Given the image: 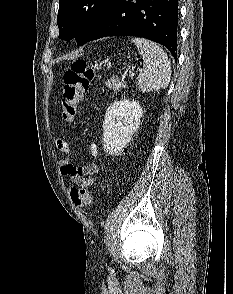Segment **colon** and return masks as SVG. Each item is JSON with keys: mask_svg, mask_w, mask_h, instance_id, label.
<instances>
[{"mask_svg": "<svg viewBox=\"0 0 233 294\" xmlns=\"http://www.w3.org/2000/svg\"><path fill=\"white\" fill-rule=\"evenodd\" d=\"M93 70L87 66L83 59L74 61L71 67L64 73V90L61 100V114L65 120H72L80 106L83 95L93 79ZM71 201L78 206H86L92 203V195L85 188H69Z\"/></svg>", "mask_w": 233, "mask_h": 294, "instance_id": "1", "label": "colon"}]
</instances>
